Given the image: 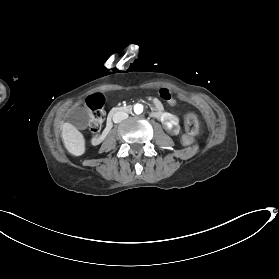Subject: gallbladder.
I'll return each instance as SVG.
<instances>
[{
    "label": "gallbladder",
    "instance_id": "gallbladder-1",
    "mask_svg": "<svg viewBox=\"0 0 279 279\" xmlns=\"http://www.w3.org/2000/svg\"><path fill=\"white\" fill-rule=\"evenodd\" d=\"M91 117L92 110L89 107H82L80 110L77 108H72L68 112V118L72 125L75 127H80L82 130L87 129V122Z\"/></svg>",
    "mask_w": 279,
    "mask_h": 279
}]
</instances>
